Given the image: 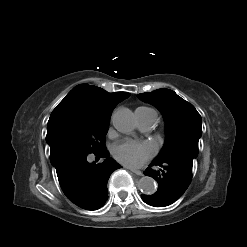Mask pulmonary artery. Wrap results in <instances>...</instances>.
<instances>
[{
	"label": "pulmonary artery",
	"mask_w": 247,
	"mask_h": 247,
	"mask_svg": "<svg viewBox=\"0 0 247 247\" xmlns=\"http://www.w3.org/2000/svg\"><path fill=\"white\" fill-rule=\"evenodd\" d=\"M136 117L138 120V125L142 130L150 129L155 120H156V113L155 112H144L142 110H136Z\"/></svg>",
	"instance_id": "obj_1"
}]
</instances>
